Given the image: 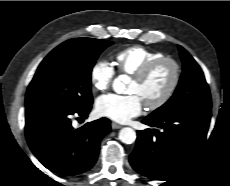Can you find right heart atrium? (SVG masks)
<instances>
[{"label": "right heart atrium", "mask_w": 230, "mask_h": 186, "mask_svg": "<svg viewBox=\"0 0 230 186\" xmlns=\"http://www.w3.org/2000/svg\"><path fill=\"white\" fill-rule=\"evenodd\" d=\"M114 68L105 59L98 60L91 68L90 81L96 91L108 89L114 78Z\"/></svg>", "instance_id": "obj_1"}]
</instances>
